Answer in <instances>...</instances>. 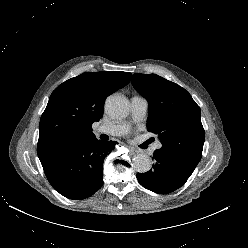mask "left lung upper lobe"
<instances>
[{
    "mask_svg": "<svg viewBox=\"0 0 248 248\" xmlns=\"http://www.w3.org/2000/svg\"><path fill=\"white\" fill-rule=\"evenodd\" d=\"M132 84L148 101L147 130L162 144L156 151L193 172L205 140L200 107L187 90L156 74L135 73Z\"/></svg>",
    "mask_w": 248,
    "mask_h": 248,
    "instance_id": "left-lung-upper-lobe-1",
    "label": "left lung upper lobe"
}]
</instances>
